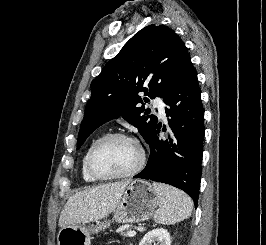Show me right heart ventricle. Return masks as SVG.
Returning <instances> with one entry per match:
<instances>
[{"label":"right heart ventricle","mask_w":266,"mask_h":245,"mask_svg":"<svg viewBox=\"0 0 266 245\" xmlns=\"http://www.w3.org/2000/svg\"><path fill=\"white\" fill-rule=\"evenodd\" d=\"M100 136L95 137L94 139L91 140V142L88 144L82 159H81V164H80V172H81V178L84 182L88 184H94L97 183L99 180L95 179L88 171L87 168V155L90 147L93 145V143L99 138Z\"/></svg>","instance_id":"1"}]
</instances>
